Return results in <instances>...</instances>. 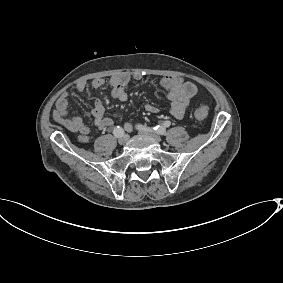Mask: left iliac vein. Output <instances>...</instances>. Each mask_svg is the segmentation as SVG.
<instances>
[{
	"label": "left iliac vein",
	"mask_w": 283,
	"mask_h": 283,
	"mask_svg": "<svg viewBox=\"0 0 283 283\" xmlns=\"http://www.w3.org/2000/svg\"><path fill=\"white\" fill-rule=\"evenodd\" d=\"M140 133L147 136V137H150L152 138L153 140H155L156 142H161L162 139L159 135H156V134H153V133H149L147 131H143V130H140Z\"/></svg>",
	"instance_id": "obj_1"
}]
</instances>
